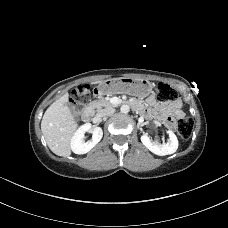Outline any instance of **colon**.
<instances>
[{
    "label": "colon",
    "instance_id": "1",
    "mask_svg": "<svg viewBox=\"0 0 228 228\" xmlns=\"http://www.w3.org/2000/svg\"><path fill=\"white\" fill-rule=\"evenodd\" d=\"M87 85H79L73 91L70 105L74 109H81L90 99ZM157 98L161 102L175 101L178 98V92L170 85L160 82L157 86ZM193 130L192 119L185 117L177 122V131L182 139H188Z\"/></svg>",
    "mask_w": 228,
    "mask_h": 228
}]
</instances>
